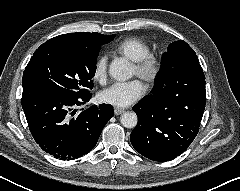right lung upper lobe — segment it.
<instances>
[{
	"mask_svg": "<svg viewBox=\"0 0 240 191\" xmlns=\"http://www.w3.org/2000/svg\"><path fill=\"white\" fill-rule=\"evenodd\" d=\"M115 35H103L97 32H77L56 36L45 44H59L67 47L94 49L114 39Z\"/></svg>",
	"mask_w": 240,
	"mask_h": 191,
	"instance_id": "obj_1",
	"label": "right lung upper lobe"
}]
</instances>
